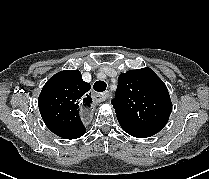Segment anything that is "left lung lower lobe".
Here are the masks:
<instances>
[{"mask_svg":"<svg viewBox=\"0 0 209 179\" xmlns=\"http://www.w3.org/2000/svg\"><path fill=\"white\" fill-rule=\"evenodd\" d=\"M118 121H119V124L122 127V129L133 137L147 138V137H150L155 134V133H152V132L147 131L145 129L134 126L126 121L119 120V119H118Z\"/></svg>","mask_w":209,"mask_h":179,"instance_id":"1","label":"left lung lower lobe"}]
</instances>
